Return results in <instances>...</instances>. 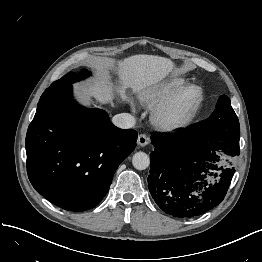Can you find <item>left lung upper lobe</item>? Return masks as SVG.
I'll use <instances>...</instances> for the list:
<instances>
[{
    "label": "left lung upper lobe",
    "instance_id": "obj_1",
    "mask_svg": "<svg viewBox=\"0 0 262 262\" xmlns=\"http://www.w3.org/2000/svg\"><path fill=\"white\" fill-rule=\"evenodd\" d=\"M191 128L207 134L222 133L229 130L240 131L238 118L231 106L230 99L226 95L220 96L215 111L208 119Z\"/></svg>",
    "mask_w": 262,
    "mask_h": 262
}]
</instances>
